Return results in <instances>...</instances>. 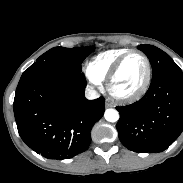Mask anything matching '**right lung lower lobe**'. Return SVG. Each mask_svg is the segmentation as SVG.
<instances>
[{"instance_id":"1","label":"right lung lower lobe","mask_w":183,"mask_h":183,"mask_svg":"<svg viewBox=\"0 0 183 183\" xmlns=\"http://www.w3.org/2000/svg\"><path fill=\"white\" fill-rule=\"evenodd\" d=\"M81 72L21 78L13 110L22 140L49 159H69L87 150L105 99L87 100Z\"/></svg>"}]
</instances>
